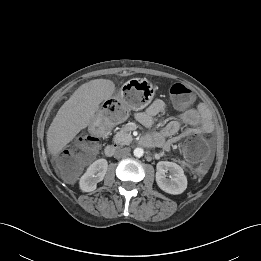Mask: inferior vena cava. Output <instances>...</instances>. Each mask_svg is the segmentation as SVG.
<instances>
[{"label":"inferior vena cava","mask_w":261,"mask_h":261,"mask_svg":"<svg viewBox=\"0 0 261 261\" xmlns=\"http://www.w3.org/2000/svg\"><path fill=\"white\" fill-rule=\"evenodd\" d=\"M130 154V148L129 147H124V148H118L115 151L114 157L115 158H123L126 157Z\"/></svg>","instance_id":"inferior-vena-cava-1"}]
</instances>
